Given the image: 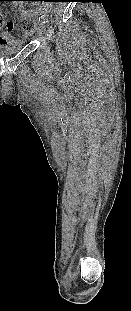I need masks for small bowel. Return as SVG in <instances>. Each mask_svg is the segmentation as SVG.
<instances>
[{"label": "small bowel", "mask_w": 131, "mask_h": 311, "mask_svg": "<svg viewBox=\"0 0 131 311\" xmlns=\"http://www.w3.org/2000/svg\"><path fill=\"white\" fill-rule=\"evenodd\" d=\"M13 35L10 31L9 24H1L0 25V42H7L12 39Z\"/></svg>", "instance_id": "1"}]
</instances>
